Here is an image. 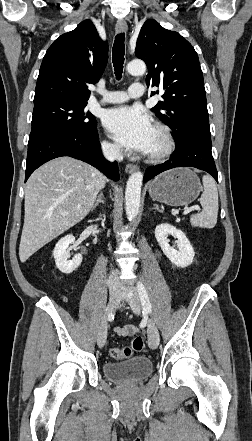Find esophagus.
I'll list each match as a JSON object with an SVG mask.
<instances>
[{"mask_svg": "<svg viewBox=\"0 0 252 441\" xmlns=\"http://www.w3.org/2000/svg\"><path fill=\"white\" fill-rule=\"evenodd\" d=\"M127 31V24L124 20H118L116 23V32L117 33H124ZM138 169V166L135 164H127L125 167V171L128 174H131L135 172Z\"/></svg>", "mask_w": 252, "mask_h": 441, "instance_id": "obj_1", "label": "esophagus"}]
</instances>
